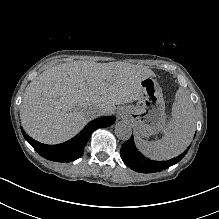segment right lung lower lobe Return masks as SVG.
<instances>
[{
	"instance_id": "98d812e1",
	"label": "right lung lower lobe",
	"mask_w": 219,
	"mask_h": 219,
	"mask_svg": "<svg viewBox=\"0 0 219 219\" xmlns=\"http://www.w3.org/2000/svg\"><path fill=\"white\" fill-rule=\"evenodd\" d=\"M114 116L99 117L91 121L75 137L58 145H46L35 141L22 130L24 138L44 158L56 162H71L83 155L84 147L94 130L108 127L115 122Z\"/></svg>"
}]
</instances>
